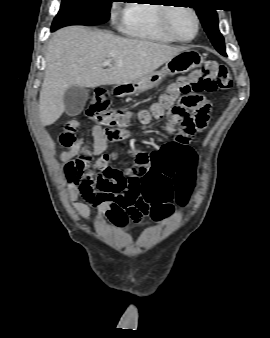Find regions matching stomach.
<instances>
[{
    "label": "stomach",
    "instance_id": "stomach-1",
    "mask_svg": "<svg viewBox=\"0 0 270 338\" xmlns=\"http://www.w3.org/2000/svg\"><path fill=\"white\" fill-rule=\"evenodd\" d=\"M201 63L202 58L199 53L187 49L168 60L160 71H153L131 83L118 85L119 95H133L147 91L157 86L165 77L186 73L199 67Z\"/></svg>",
    "mask_w": 270,
    "mask_h": 338
}]
</instances>
